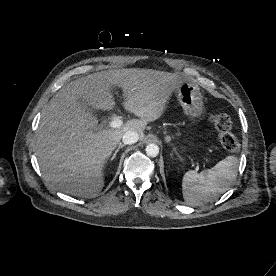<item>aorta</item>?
I'll return each mask as SVG.
<instances>
[{
  "label": "aorta",
  "instance_id": "762f6f07",
  "mask_svg": "<svg viewBox=\"0 0 276 276\" xmlns=\"http://www.w3.org/2000/svg\"><path fill=\"white\" fill-rule=\"evenodd\" d=\"M146 153L150 157H156L159 154V147L154 143L148 144L146 146Z\"/></svg>",
  "mask_w": 276,
  "mask_h": 276
}]
</instances>
